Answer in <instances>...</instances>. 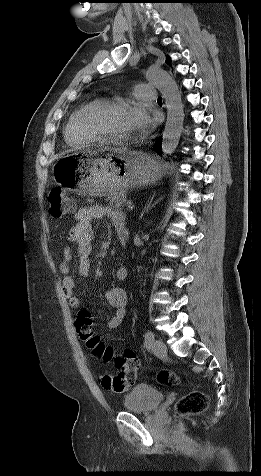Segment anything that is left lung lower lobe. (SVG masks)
Instances as JSON below:
<instances>
[{
    "mask_svg": "<svg viewBox=\"0 0 261 476\" xmlns=\"http://www.w3.org/2000/svg\"><path fill=\"white\" fill-rule=\"evenodd\" d=\"M153 149L158 153L161 151V139H159L155 145L153 146Z\"/></svg>",
    "mask_w": 261,
    "mask_h": 476,
    "instance_id": "obj_1",
    "label": "left lung lower lobe"
}]
</instances>
